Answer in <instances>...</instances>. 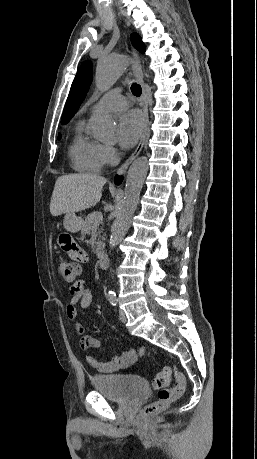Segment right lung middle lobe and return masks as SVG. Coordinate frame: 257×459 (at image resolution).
<instances>
[{
  "label": "right lung middle lobe",
  "instance_id": "1",
  "mask_svg": "<svg viewBox=\"0 0 257 459\" xmlns=\"http://www.w3.org/2000/svg\"><path fill=\"white\" fill-rule=\"evenodd\" d=\"M60 138H61V135L59 134V135H58V139H60Z\"/></svg>",
  "mask_w": 257,
  "mask_h": 459
}]
</instances>
